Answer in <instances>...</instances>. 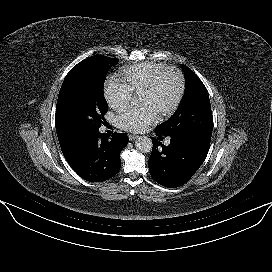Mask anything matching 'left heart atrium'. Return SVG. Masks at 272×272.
<instances>
[{"mask_svg": "<svg viewBox=\"0 0 272 272\" xmlns=\"http://www.w3.org/2000/svg\"><path fill=\"white\" fill-rule=\"evenodd\" d=\"M158 120V113L148 104L131 105L117 117L119 128L131 132H143Z\"/></svg>", "mask_w": 272, "mask_h": 272, "instance_id": "39dd6f15", "label": "left heart atrium"}]
</instances>
